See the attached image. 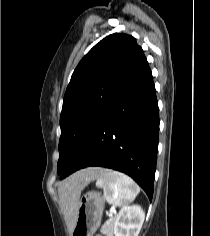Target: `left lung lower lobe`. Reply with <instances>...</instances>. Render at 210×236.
I'll return each mask as SVG.
<instances>
[{"instance_id":"1","label":"left lung lower lobe","mask_w":210,"mask_h":236,"mask_svg":"<svg viewBox=\"0 0 210 236\" xmlns=\"http://www.w3.org/2000/svg\"><path fill=\"white\" fill-rule=\"evenodd\" d=\"M158 135V103L147 66L98 116L63 170L61 179L85 167H107L132 177L151 201Z\"/></svg>"}]
</instances>
